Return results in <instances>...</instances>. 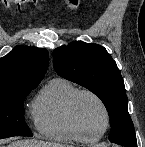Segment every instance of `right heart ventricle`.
Masks as SVG:
<instances>
[{
  "label": "right heart ventricle",
  "mask_w": 145,
  "mask_h": 147,
  "mask_svg": "<svg viewBox=\"0 0 145 147\" xmlns=\"http://www.w3.org/2000/svg\"><path fill=\"white\" fill-rule=\"evenodd\" d=\"M78 88L68 79L49 80L32 103V119L44 138L68 143L88 141L76 131L68 115V103Z\"/></svg>",
  "instance_id": "e07e8e85"
}]
</instances>
